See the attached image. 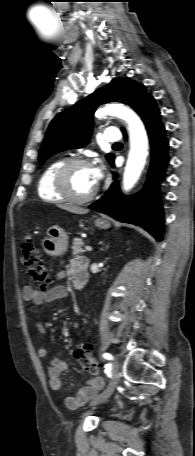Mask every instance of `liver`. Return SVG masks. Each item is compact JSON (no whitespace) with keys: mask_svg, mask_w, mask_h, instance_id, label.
Here are the masks:
<instances>
[{"mask_svg":"<svg viewBox=\"0 0 195 456\" xmlns=\"http://www.w3.org/2000/svg\"><path fill=\"white\" fill-rule=\"evenodd\" d=\"M60 209H64V210H67L71 213H75V214H86L88 213V210L87 209H83L81 207H78V206H74V205H69V204H58L57 205Z\"/></svg>","mask_w":195,"mask_h":456,"instance_id":"liver-1","label":"liver"}]
</instances>
